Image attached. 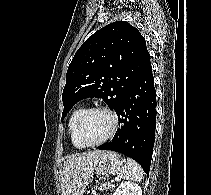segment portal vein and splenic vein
Segmentation results:
<instances>
[{"label": "portal vein and splenic vein", "instance_id": "obj_1", "mask_svg": "<svg viewBox=\"0 0 211 195\" xmlns=\"http://www.w3.org/2000/svg\"><path fill=\"white\" fill-rule=\"evenodd\" d=\"M109 186H110V187H114V184H113V183H111V184H109Z\"/></svg>", "mask_w": 211, "mask_h": 195}]
</instances>
